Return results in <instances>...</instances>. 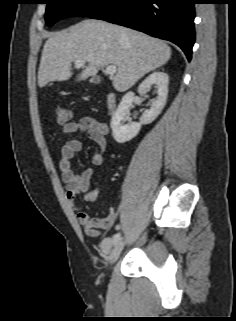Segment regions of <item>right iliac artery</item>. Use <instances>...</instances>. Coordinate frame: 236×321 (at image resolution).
<instances>
[{"instance_id":"right-iliac-artery-1","label":"right iliac artery","mask_w":236,"mask_h":321,"mask_svg":"<svg viewBox=\"0 0 236 321\" xmlns=\"http://www.w3.org/2000/svg\"><path fill=\"white\" fill-rule=\"evenodd\" d=\"M120 240V233L116 234L114 237H113V244H116L118 241Z\"/></svg>"}]
</instances>
